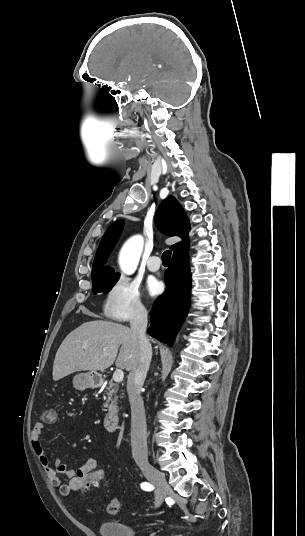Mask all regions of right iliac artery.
I'll list each match as a JSON object with an SVG mask.
<instances>
[{
    "label": "right iliac artery",
    "instance_id": "82829eb1",
    "mask_svg": "<svg viewBox=\"0 0 305 536\" xmlns=\"http://www.w3.org/2000/svg\"><path fill=\"white\" fill-rule=\"evenodd\" d=\"M141 488L145 491H152L154 489V486L148 482H143L141 484Z\"/></svg>",
    "mask_w": 305,
    "mask_h": 536
}]
</instances>
